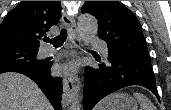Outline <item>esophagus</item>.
Instances as JSON below:
<instances>
[{
    "mask_svg": "<svg viewBox=\"0 0 171 110\" xmlns=\"http://www.w3.org/2000/svg\"><path fill=\"white\" fill-rule=\"evenodd\" d=\"M63 23L68 31L69 41L74 44V39L77 38L78 32L76 28V22L73 17L67 14L63 15ZM74 46V45H73ZM79 90V83L76 75H66L63 78V94H62V104L63 106H68Z\"/></svg>",
    "mask_w": 171,
    "mask_h": 110,
    "instance_id": "esophagus-1",
    "label": "esophagus"
}]
</instances>
